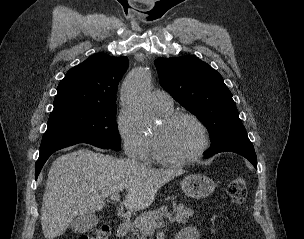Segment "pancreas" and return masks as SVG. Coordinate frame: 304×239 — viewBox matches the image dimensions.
<instances>
[{
  "label": "pancreas",
  "instance_id": "obj_1",
  "mask_svg": "<svg viewBox=\"0 0 304 239\" xmlns=\"http://www.w3.org/2000/svg\"><path fill=\"white\" fill-rule=\"evenodd\" d=\"M194 211L183 204H173V212H168L166 206L158 210L146 211L137 217L130 224L132 237L134 239H147L149 227L153 222H159L163 218H168L170 222L186 223L192 217Z\"/></svg>",
  "mask_w": 304,
  "mask_h": 239
}]
</instances>
